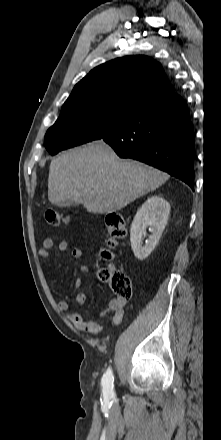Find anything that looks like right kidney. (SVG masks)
<instances>
[{
    "mask_svg": "<svg viewBox=\"0 0 221 440\" xmlns=\"http://www.w3.org/2000/svg\"><path fill=\"white\" fill-rule=\"evenodd\" d=\"M170 214L169 203L160 196L149 197L137 211L130 230V242L134 255L139 260L146 259L157 245ZM151 235L142 245L146 228Z\"/></svg>",
    "mask_w": 221,
    "mask_h": 440,
    "instance_id": "obj_1",
    "label": "right kidney"
}]
</instances>
